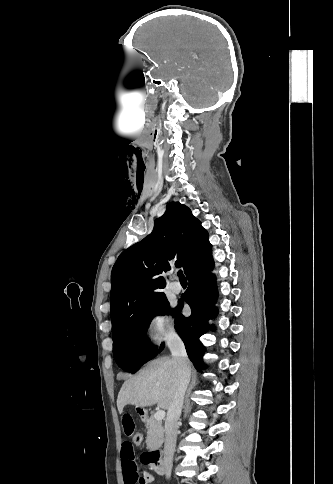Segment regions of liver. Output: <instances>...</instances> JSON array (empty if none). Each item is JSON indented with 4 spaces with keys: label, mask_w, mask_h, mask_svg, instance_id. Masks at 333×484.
Instances as JSON below:
<instances>
[{
    "label": "liver",
    "mask_w": 333,
    "mask_h": 484,
    "mask_svg": "<svg viewBox=\"0 0 333 484\" xmlns=\"http://www.w3.org/2000/svg\"><path fill=\"white\" fill-rule=\"evenodd\" d=\"M177 385V362L169 357L154 359L124 382L118 393V412L121 414L126 405L144 408L157 404L168 410Z\"/></svg>",
    "instance_id": "obj_1"
}]
</instances>
